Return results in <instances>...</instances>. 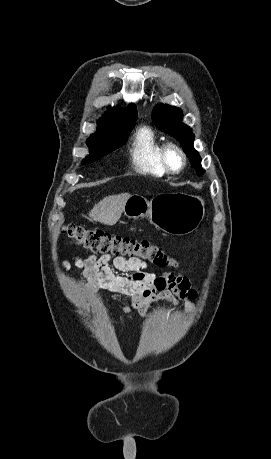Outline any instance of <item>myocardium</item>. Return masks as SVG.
<instances>
[{"label": "myocardium", "mask_w": 271, "mask_h": 459, "mask_svg": "<svg viewBox=\"0 0 271 459\" xmlns=\"http://www.w3.org/2000/svg\"><path fill=\"white\" fill-rule=\"evenodd\" d=\"M172 151L177 152L181 157L182 164L178 169L173 168L170 163L169 156ZM160 156L165 170L173 175L181 174L188 165V155L183 146L176 141H168L163 143L160 149Z\"/></svg>", "instance_id": "obj_1"}]
</instances>
